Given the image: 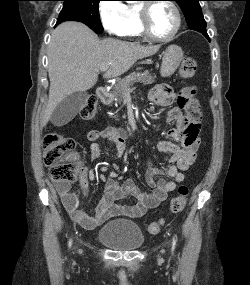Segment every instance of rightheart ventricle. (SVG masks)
<instances>
[{"mask_svg": "<svg viewBox=\"0 0 250 285\" xmlns=\"http://www.w3.org/2000/svg\"><path fill=\"white\" fill-rule=\"evenodd\" d=\"M128 11H129V21L127 28L123 33V36L135 37V38L143 37L140 27V20H139L137 6H129Z\"/></svg>", "mask_w": 250, "mask_h": 285, "instance_id": "obj_1", "label": "right heart ventricle"}]
</instances>
